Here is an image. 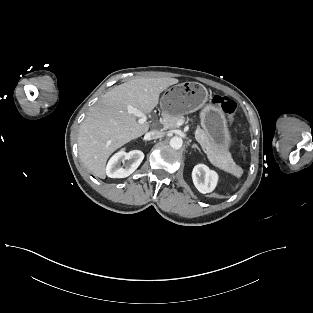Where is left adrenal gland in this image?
<instances>
[{"instance_id": "obj_1", "label": "left adrenal gland", "mask_w": 313, "mask_h": 313, "mask_svg": "<svg viewBox=\"0 0 313 313\" xmlns=\"http://www.w3.org/2000/svg\"><path fill=\"white\" fill-rule=\"evenodd\" d=\"M191 147L197 149L200 152V148L196 144H193Z\"/></svg>"}]
</instances>
